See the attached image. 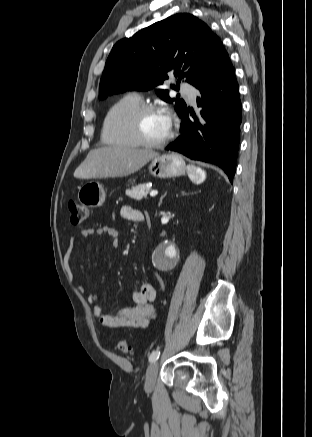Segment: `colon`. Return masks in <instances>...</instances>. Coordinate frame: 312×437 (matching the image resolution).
Masks as SVG:
<instances>
[{
  "label": "colon",
  "instance_id": "5ec220e1",
  "mask_svg": "<svg viewBox=\"0 0 312 437\" xmlns=\"http://www.w3.org/2000/svg\"><path fill=\"white\" fill-rule=\"evenodd\" d=\"M68 210L70 221L73 225H80L87 216V208L74 200L68 202ZM118 348L122 353H130L132 351L131 344L126 340H121L118 343Z\"/></svg>",
  "mask_w": 312,
  "mask_h": 437
}]
</instances>
